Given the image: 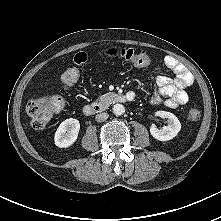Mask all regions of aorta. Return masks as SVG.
Segmentation results:
<instances>
[{
    "mask_svg": "<svg viewBox=\"0 0 221 221\" xmlns=\"http://www.w3.org/2000/svg\"><path fill=\"white\" fill-rule=\"evenodd\" d=\"M113 113L115 115H122L125 113V107L122 104H115L113 106Z\"/></svg>",
    "mask_w": 221,
    "mask_h": 221,
    "instance_id": "aorta-1",
    "label": "aorta"
}]
</instances>
